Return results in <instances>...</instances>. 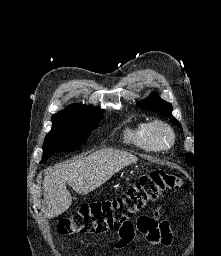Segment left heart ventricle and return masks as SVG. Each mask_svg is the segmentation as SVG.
Returning <instances> with one entry per match:
<instances>
[{
  "label": "left heart ventricle",
  "mask_w": 221,
  "mask_h": 256,
  "mask_svg": "<svg viewBox=\"0 0 221 256\" xmlns=\"http://www.w3.org/2000/svg\"><path fill=\"white\" fill-rule=\"evenodd\" d=\"M159 139L162 143H167L169 141V135L164 131H160Z\"/></svg>",
  "instance_id": "left-heart-ventricle-1"
}]
</instances>
